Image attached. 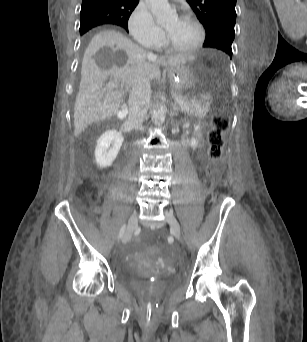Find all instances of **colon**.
<instances>
[{
    "instance_id": "1",
    "label": "colon",
    "mask_w": 307,
    "mask_h": 342,
    "mask_svg": "<svg viewBox=\"0 0 307 342\" xmlns=\"http://www.w3.org/2000/svg\"><path fill=\"white\" fill-rule=\"evenodd\" d=\"M213 126L208 133L209 147L207 150L208 158L210 159V165L208 168L209 174L216 176L219 174V168L217 162L221 158L222 149L224 146V134L228 131L229 121L228 118L221 114L216 113L213 116ZM162 246H149V257H157L158 253H162Z\"/></svg>"
}]
</instances>
